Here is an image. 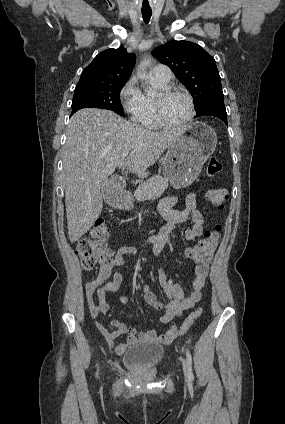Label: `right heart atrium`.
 Wrapping results in <instances>:
<instances>
[{"label": "right heart atrium", "mask_w": 285, "mask_h": 424, "mask_svg": "<svg viewBox=\"0 0 285 424\" xmlns=\"http://www.w3.org/2000/svg\"><path fill=\"white\" fill-rule=\"evenodd\" d=\"M119 98L123 110L129 117L134 121H139L144 109V95L135 77L129 78L123 85L119 92Z\"/></svg>", "instance_id": "d8ad5b80"}]
</instances>
